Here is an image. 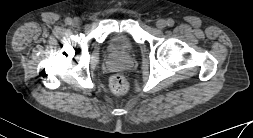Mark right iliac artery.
Segmentation results:
<instances>
[{"label": "right iliac artery", "mask_w": 253, "mask_h": 138, "mask_svg": "<svg viewBox=\"0 0 253 138\" xmlns=\"http://www.w3.org/2000/svg\"><path fill=\"white\" fill-rule=\"evenodd\" d=\"M72 22V20L70 19V18H67L66 20H65V24L67 25V26H70V23Z\"/></svg>", "instance_id": "obj_1"}]
</instances>
